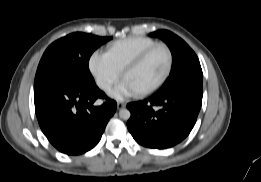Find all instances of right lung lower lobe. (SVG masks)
Returning <instances> with one entry per match:
<instances>
[{"label":"right lung lower lobe","mask_w":261,"mask_h":182,"mask_svg":"<svg viewBox=\"0 0 261 182\" xmlns=\"http://www.w3.org/2000/svg\"><path fill=\"white\" fill-rule=\"evenodd\" d=\"M98 98L105 102L94 106ZM34 102L42 132L56 149L68 155L96 146L116 110V102L97 86L83 89L63 77L35 84Z\"/></svg>","instance_id":"obj_1"}]
</instances>
